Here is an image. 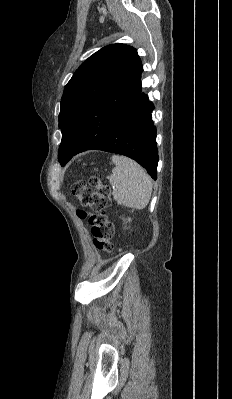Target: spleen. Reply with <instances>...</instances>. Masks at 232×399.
Returning <instances> with one entry per match:
<instances>
[{
	"label": "spleen",
	"instance_id": "obj_1",
	"mask_svg": "<svg viewBox=\"0 0 232 399\" xmlns=\"http://www.w3.org/2000/svg\"><path fill=\"white\" fill-rule=\"evenodd\" d=\"M115 164L109 182L113 186V198L120 205L143 209L152 196L153 184L146 170L125 156H112Z\"/></svg>",
	"mask_w": 232,
	"mask_h": 399
}]
</instances>
